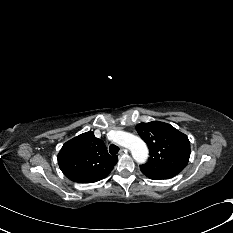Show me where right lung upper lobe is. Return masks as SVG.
<instances>
[{"label": "right lung upper lobe", "mask_w": 233, "mask_h": 233, "mask_svg": "<svg viewBox=\"0 0 233 233\" xmlns=\"http://www.w3.org/2000/svg\"><path fill=\"white\" fill-rule=\"evenodd\" d=\"M57 158L64 175L78 183H93L107 177L118 161L92 131L66 142Z\"/></svg>", "instance_id": "cb5924a9"}]
</instances>
